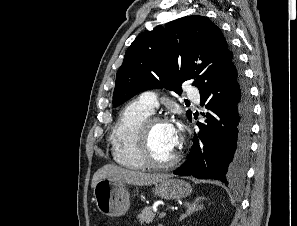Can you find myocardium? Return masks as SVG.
<instances>
[{"mask_svg": "<svg viewBox=\"0 0 297 226\" xmlns=\"http://www.w3.org/2000/svg\"><path fill=\"white\" fill-rule=\"evenodd\" d=\"M168 123V121L160 116H149L140 125L137 132V149L140 157L143 159L145 165L161 169L169 168L176 165L181 159V149H177L176 153L166 161L157 160L150 149V133L155 124Z\"/></svg>", "mask_w": 297, "mask_h": 226, "instance_id": "1", "label": "myocardium"}]
</instances>
